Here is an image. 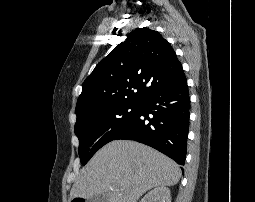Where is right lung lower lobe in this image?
Masks as SVG:
<instances>
[{"mask_svg":"<svg viewBox=\"0 0 255 202\" xmlns=\"http://www.w3.org/2000/svg\"><path fill=\"white\" fill-rule=\"evenodd\" d=\"M189 110L190 97L185 80L143 100L136 116L114 140H135L149 145L184 166Z\"/></svg>","mask_w":255,"mask_h":202,"instance_id":"98d812e1","label":"right lung lower lobe"}]
</instances>
